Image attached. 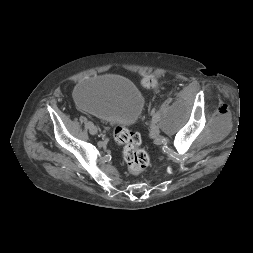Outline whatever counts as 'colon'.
<instances>
[{"instance_id": "5ec220e1", "label": "colon", "mask_w": 253, "mask_h": 253, "mask_svg": "<svg viewBox=\"0 0 253 253\" xmlns=\"http://www.w3.org/2000/svg\"><path fill=\"white\" fill-rule=\"evenodd\" d=\"M152 79H147L145 84L151 86ZM114 138L122 146V158L132 174L138 175L144 171L149 163V157L140 147L141 137L138 133L130 131L124 126L114 128Z\"/></svg>"}]
</instances>
